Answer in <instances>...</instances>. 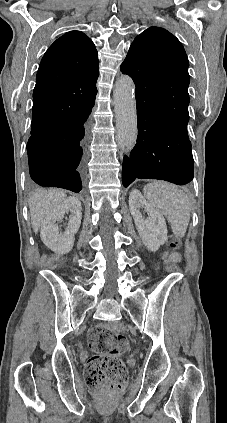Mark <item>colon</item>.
I'll use <instances>...</instances> for the list:
<instances>
[{"label":"colon","instance_id":"obj_1","mask_svg":"<svg viewBox=\"0 0 227 423\" xmlns=\"http://www.w3.org/2000/svg\"><path fill=\"white\" fill-rule=\"evenodd\" d=\"M170 241V250L164 254L165 259L176 254L177 240L172 237ZM88 344L93 351L86 363L85 380L88 387L108 396L122 391L127 382V369L120 357L129 348L127 337L117 326L102 324L90 331Z\"/></svg>","mask_w":227,"mask_h":423}]
</instances>
